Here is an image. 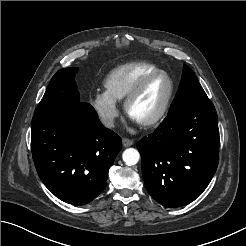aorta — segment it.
<instances>
[{"instance_id": "obj_1", "label": "aorta", "mask_w": 246, "mask_h": 246, "mask_svg": "<svg viewBox=\"0 0 246 246\" xmlns=\"http://www.w3.org/2000/svg\"><path fill=\"white\" fill-rule=\"evenodd\" d=\"M122 158L126 165L132 166L138 163L140 154L136 149L128 148L123 152Z\"/></svg>"}]
</instances>
